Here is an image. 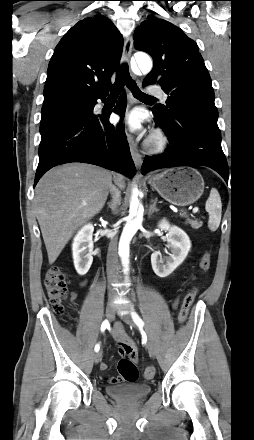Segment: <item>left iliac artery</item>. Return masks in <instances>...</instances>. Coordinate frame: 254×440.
<instances>
[{
	"label": "left iliac artery",
	"mask_w": 254,
	"mask_h": 440,
	"mask_svg": "<svg viewBox=\"0 0 254 440\" xmlns=\"http://www.w3.org/2000/svg\"><path fill=\"white\" fill-rule=\"evenodd\" d=\"M132 318L134 320V322L139 326L142 327L144 325V322L142 321V319L138 316L137 313L133 312L132 313Z\"/></svg>",
	"instance_id": "obj_1"
}]
</instances>
